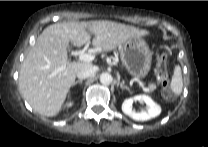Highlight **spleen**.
<instances>
[{"label":"spleen","instance_id":"spleen-1","mask_svg":"<svg viewBox=\"0 0 208 147\" xmlns=\"http://www.w3.org/2000/svg\"><path fill=\"white\" fill-rule=\"evenodd\" d=\"M170 89L176 96L180 95L183 90L182 71L179 65H176L174 68V73L170 83Z\"/></svg>","mask_w":208,"mask_h":147}]
</instances>
